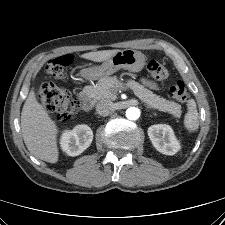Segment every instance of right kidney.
Segmentation results:
<instances>
[{
	"label": "right kidney",
	"instance_id": "ca27d5eb",
	"mask_svg": "<svg viewBox=\"0 0 225 225\" xmlns=\"http://www.w3.org/2000/svg\"><path fill=\"white\" fill-rule=\"evenodd\" d=\"M93 140V132L87 125H78L66 130L60 140L61 148L69 156H78L87 149Z\"/></svg>",
	"mask_w": 225,
	"mask_h": 225
}]
</instances>
